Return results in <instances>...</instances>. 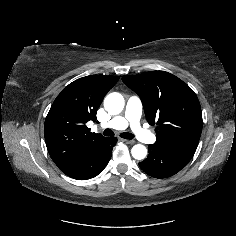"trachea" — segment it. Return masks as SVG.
Segmentation results:
<instances>
[{"instance_id":"3493384b","label":"trachea","mask_w":236,"mask_h":236,"mask_svg":"<svg viewBox=\"0 0 236 236\" xmlns=\"http://www.w3.org/2000/svg\"><path fill=\"white\" fill-rule=\"evenodd\" d=\"M103 134L105 136H114V132L111 129H105ZM120 137H122L124 139H133L134 135L129 132H123L120 134Z\"/></svg>"}]
</instances>
